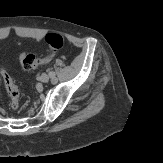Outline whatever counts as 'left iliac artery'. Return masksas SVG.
<instances>
[{"label": "left iliac artery", "instance_id": "left-iliac-artery-1", "mask_svg": "<svg viewBox=\"0 0 163 163\" xmlns=\"http://www.w3.org/2000/svg\"><path fill=\"white\" fill-rule=\"evenodd\" d=\"M48 74H49V76H50L52 79H55V72H54V71L49 70V71H48Z\"/></svg>", "mask_w": 163, "mask_h": 163}]
</instances>
